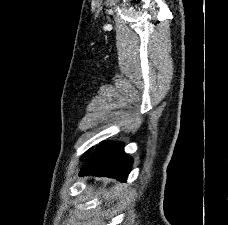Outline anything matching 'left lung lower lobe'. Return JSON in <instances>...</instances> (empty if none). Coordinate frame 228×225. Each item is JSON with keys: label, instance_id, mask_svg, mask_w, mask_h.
I'll use <instances>...</instances> for the list:
<instances>
[{"label": "left lung lower lobe", "instance_id": "obj_1", "mask_svg": "<svg viewBox=\"0 0 228 225\" xmlns=\"http://www.w3.org/2000/svg\"><path fill=\"white\" fill-rule=\"evenodd\" d=\"M132 159L124 153L120 142H101L82 167L79 175L93 174L125 181L131 170Z\"/></svg>", "mask_w": 228, "mask_h": 225}]
</instances>
